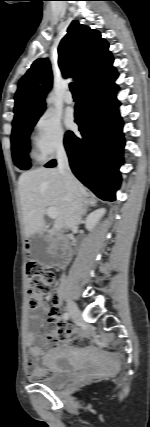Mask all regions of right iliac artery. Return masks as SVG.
<instances>
[{
    "label": "right iliac artery",
    "instance_id": "82829eb1",
    "mask_svg": "<svg viewBox=\"0 0 150 427\" xmlns=\"http://www.w3.org/2000/svg\"><path fill=\"white\" fill-rule=\"evenodd\" d=\"M63 318L65 319V320H68L69 319V314L66 312V313H64L63 314Z\"/></svg>",
    "mask_w": 150,
    "mask_h": 427
}]
</instances>
